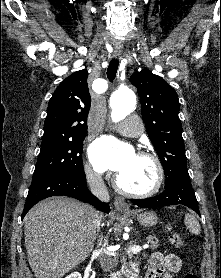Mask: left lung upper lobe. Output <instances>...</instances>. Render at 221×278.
<instances>
[{
	"label": "left lung upper lobe",
	"mask_w": 221,
	"mask_h": 278,
	"mask_svg": "<svg viewBox=\"0 0 221 278\" xmlns=\"http://www.w3.org/2000/svg\"><path fill=\"white\" fill-rule=\"evenodd\" d=\"M130 81L141 98L146 131L162 162L166 184L175 176L188 173L177 93L149 70L134 73Z\"/></svg>",
	"instance_id": "obj_1"
}]
</instances>
